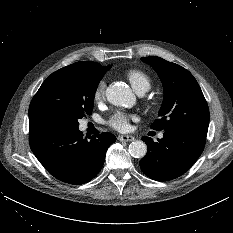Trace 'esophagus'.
<instances>
[{"label":"esophagus","instance_id":"esophagus-1","mask_svg":"<svg viewBox=\"0 0 233 233\" xmlns=\"http://www.w3.org/2000/svg\"><path fill=\"white\" fill-rule=\"evenodd\" d=\"M118 140L122 141V142H131V141L135 140V138L133 136H130V135H119Z\"/></svg>","mask_w":233,"mask_h":233}]
</instances>
